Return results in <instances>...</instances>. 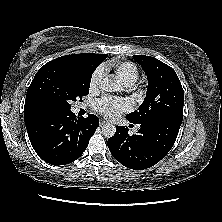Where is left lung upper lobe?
<instances>
[{
  "instance_id": "left-lung-upper-lobe-1",
  "label": "left lung upper lobe",
  "mask_w": 222,
  "mask_h": 222,
  "mask_svg": "<svg viewBox=\"0 0 222 222\" xmlns=\"http://www.w3.org/2000/svg\"><path fill=\"white\" fill-rule=\"evenodd\" d=\"M133 58L147 75L148 89L144 102L126 119L134 124L161 116L183 119L184 91L175 71L151 56L134 55Z\"/></svg>"
}]
</instances>
